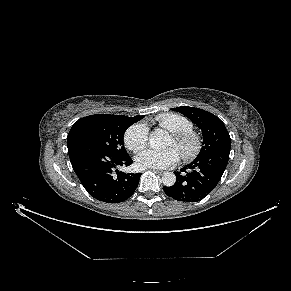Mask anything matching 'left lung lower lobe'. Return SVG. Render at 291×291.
<instances>
[{"instance_id":"0a47b994","label":"left lung lower lobe","mask_w":291,"mask_h":291,"mask_svg":"<svg viewBox=\"0 0 291 291\" xmlns=\"http://www.w3.org/2000/svg\"><path fill=\"white\" fill-rule=\"evenodd\" d=\"M229 153L230 151L220 150L209 156L195 159L180 172H174L176 182L173 186L163 187L164 192L177 201L202 200L221 179L229 160Z\"/></svg>"}]
</instances>
